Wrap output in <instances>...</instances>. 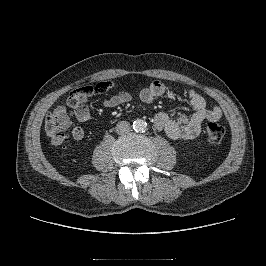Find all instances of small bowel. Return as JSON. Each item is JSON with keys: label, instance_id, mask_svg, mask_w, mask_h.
Returning a JSON list of instances; mask_svg holds the SVG:
<instances>
[{"label": "small bowel", "instance_id": "1", "mask_svg": "<svg viewBox=\"0 0 266 266\" xmlns=\"http://www.w3.org/2000/svg\"><path fill=\"white\" fill-rule=\"evenodd\" d=\"M166 91L165 85L160 81H153L140 92V100L145 104L152 103ZM189 104L193 113L187 115H169L165 112L156 114L155 128L165 133L173 140H190L196 138L201 131V124L205 120L217 121L222 117L218 107L206 109V101L201 94L193 89L187 90ZM131 96L128 92L120 91L103 101L106 107H116L129 102ZM87 122L91 119L88 98L76 96L69 97L66 105L57 106L45 121V133L53 145H61L68 139L81 141L85 132L80 127L71 129L72 120ZM70 131V133H68Z\"/></svg>", "mask_w": 266, "mask_h": 266}]
</instances>
